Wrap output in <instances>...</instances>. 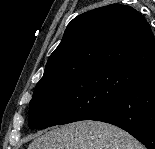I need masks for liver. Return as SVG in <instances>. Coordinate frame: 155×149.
<instances>
[{"label":"liver","instance_id":"obj_1","mask_svg":"<svg viewBox=\"0 0 155 149\" xmlns=\"http://www.w3.org/2000/svg\"><path fill=\"white\" fill-rule=\"evenodd\" d=\"M28 149H145L134 137L114 125L78 121L56 127L35 138Z\"/></svg>","mask_w":155,"mask_h":149}]
</instances>
